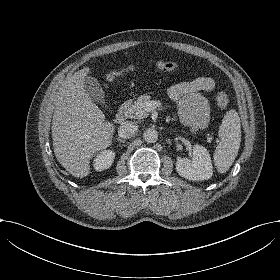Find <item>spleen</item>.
Segmentation results:
<instances>
[{
    "mask_svg": "<svg viewBox=\"0 0 280 280\" xmlns=\"http://www.w3.org/2000/svg\"><path fill=\"white\" fill-rule=\"evenodd\" d=\"M221 142L214 152V161L220 173L226 172L232 165L240 147L241 126L238 113L230 110L220 126Z\"/></svg>",
    "mask_w": 280,
    "mask_h": 280,
    "instance_id": "3e777b00",
    "label": "spleen"
}]
</instances>
